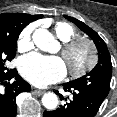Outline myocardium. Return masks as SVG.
Returning <instances> with one entry per match:
<instances>
[{"instance_id":"f54148a6","label":"myocardium","mask_w":117,"mask_h":117,"mask_svg":"<svg viewBox=\"0 0 117 117\" xmlns=\"http://www.w3.org/2000/svg\"><path fill=\"white\" fill-rule=\"evenodd\" d=\"M82 49L86 52L85 60L76 64L74 58ZM61 54L68 65L71 75L74 77L85 75L98 61L97 49L94 43L86 37H75L64 42Z\"/></svg>"}]
</instances>
